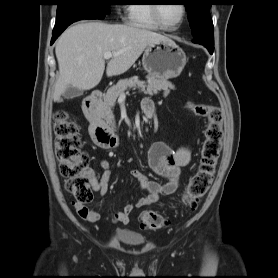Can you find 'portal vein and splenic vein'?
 Masks as SVG:
<instances>
[{
  "instance_id": "portal-vein-and-splenic-vein-1",
  "label": "portal vein and splenic vein",
  "mask_w": 278,
  "mask_h": 278,
  "mask_svg": "<svg viewBox=\"0 0 278 278\" xmlns=\"http://www.w3.org/2000/svg\"><path fill=\"white\" fill-rule=\"evenodd\" d=\"M117 55H118V53L106 52V53H104V59H110V58H112L114 56H117Z\"/></svg>"
}]
</instances>
